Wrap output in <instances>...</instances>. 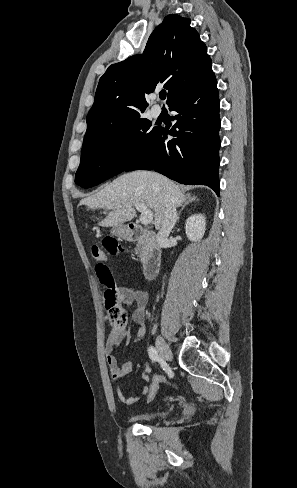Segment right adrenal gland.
Listing matches in <instances>:
<instances>
[{
  "instance_id": "2a0ac1e0",
  "label": "right adrenal gland",
  "mask_w": 297,
  "mask_h": 488,
  "mask_svg": "<svg viewBox=\"0 0 297 488\" xmlns=\"http://www.w3.org/2000/svg\"><path fill=\"white\" fill-rule=\"evenodd\" d=\"M198 198L196 196H187L185 202L183 203L182 207H181V210L179 211L178 213V216H177V223H179V220H180V215H181V212L184 210V208L191 202L193 201H197Z\"/></svg>"
}]
</instances>
